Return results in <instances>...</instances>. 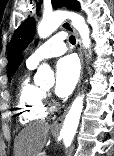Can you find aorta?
<instances>
[{
  "mask_svg": "<svg viewBox=\"0 0 114 156\" xmlns=\"http://www.w3.org/2000/svg\"><path fill=\"white\" fill-rule=\"evenodd\" d=\"M69 18L72 21L73 26L80 33L83 46L87 49L90 48L91 40H90V30L88 25L85 22L84 17L74 12L67 11H57L50 15L44 16L42 21L39 23L37 27V32L40 38H46L51 35L60 25L61 23ZM53 71L49 68L48 65L43 64L39 67L35 82L42 83L44 81L53 82L54 76ZM83 99L84 95H79L76 97L74 102L72 103L69 112L67 113L63 127L61 130V135L63 137V142L65 147H69L76 133L79 119L83 110Z\"/></svg>",
  "mask_w": 114,
  "mask_h": 156,
  "instance_id": "obj_1",
  "label": "aorta"
}]
</instances>
